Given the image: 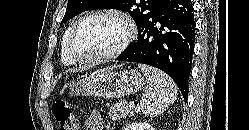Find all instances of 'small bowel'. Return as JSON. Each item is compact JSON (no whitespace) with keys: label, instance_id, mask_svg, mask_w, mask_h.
<instances>
[{"label":"small bowel","instance_id":"small-bowel-1","mask_svg":"<svg viewBox=\"0 0 249 130\" xmlns=\"http://www.w3.org/2000/svg\"><path fill=\"white\" fill-rule=\"evenodd\" d=\"M83 128L84 130H104L105 121L101 113L97 110H93L86 118Z\"/></svg>","mask_w":249,"mask_h":130}]
</instances>
